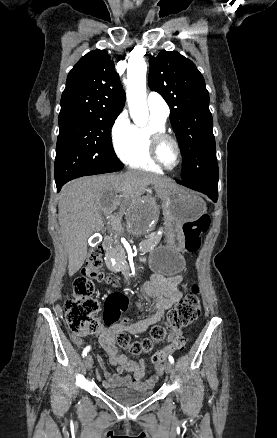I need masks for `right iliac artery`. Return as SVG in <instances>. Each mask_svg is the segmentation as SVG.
<instances>
[{
	"label": "right iliac artery",
	"mask_w": 277,
	"mask_h": 438,
	"mask_svg": "<svg viewBox=\"0 0 277 438\" xmlns=\"http://www.w3.org/2000/svg\"><path fill=\"white\" fill-rule=\"evenodd\" d=\"M90 348H91L90 346H87V347L84 348V350H83V354H82L83 357H84V356H87V353L90 351Z\"/></svg>",
	"instance_id": "1"
}]
</instances>
